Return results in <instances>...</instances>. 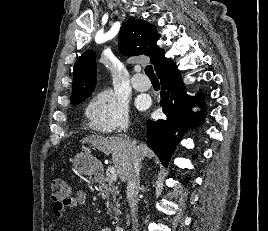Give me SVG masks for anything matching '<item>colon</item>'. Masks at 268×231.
Instances as JSON below:
<instances>
[{"mask_svg": "<svg viewBox=\"0 0 268 231\" xmlns=\"http://www.w3.org/2000/svg\"><path fill=\"white\" fill-rule=\"evenodd\" d=\"M50 190L55 206L66 210L71 200L68 184L63 179L57 178L52 181Z\"/></svg>", "mask_w": 268, "mask_h": 231, "instance_id": "5ec220e1", "label": "colon"}]
</instances>
